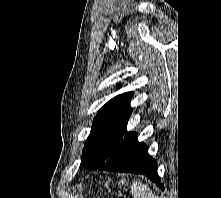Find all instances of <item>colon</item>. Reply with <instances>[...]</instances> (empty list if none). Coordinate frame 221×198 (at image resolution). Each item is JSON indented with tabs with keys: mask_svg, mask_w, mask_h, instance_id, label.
<instances>
[{
	"mask_svg": "<svg viewBox=\"0 0 221 198\" xmlns=\"http://www.w3.org/2000/svg\"><path fill=\"white\" fill-rule=\"evenodd\" d=\"M121 183H123V181H121ZM123 198H128V197H125V196H124Z\"/></svg>",
	"mask_w": 221,
	"mask_h": 198,
	"instance_id": "obj_1",
	"label": "colon"
}]
</instances>
